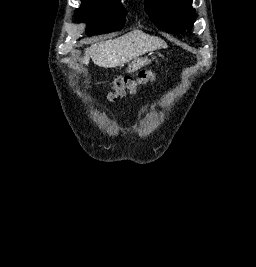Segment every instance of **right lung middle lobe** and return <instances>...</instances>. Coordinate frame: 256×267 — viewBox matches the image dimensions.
Instances as JSON below:
<instances>
[{
    "instance_id": "right-lung-middle-lobe-1",
    "label": "right lung middle lobe",
    "mask_w": 256,
    "mask_h": 267,
    "mask_svg": "<svg viewBox=\"0 0 256 267\" xmlns=\"http://www.w3.org/2000/svg\"><path fill=\"white\" fill-rule=\"evenodd\" d=\"M126 11L118 1H87L75 12L78 22H86L88 36L119 31L125 24Z\"/></svg>"
}]
</instances>
